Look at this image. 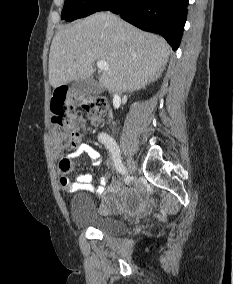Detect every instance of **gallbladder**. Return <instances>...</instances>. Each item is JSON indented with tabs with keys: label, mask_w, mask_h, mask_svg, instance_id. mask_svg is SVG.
<instances>
[{
	"label": "gallbladder",
	"mask_w": 233,
	"mask_h": 284,
	"mask_svg": "<svg viewBox=\"0 0 233 284\" xmlns=\"http://www.w3.org/2000/svg\"><path fill=\"white\" fill-rule=\"evenodd\" d=\"M102 89L99 81L94 77L74 80L70 87V91L75 96H84L99 93Z\"/></svg>",
	"instance_id": "bac80fb5"
}]
</instances>
